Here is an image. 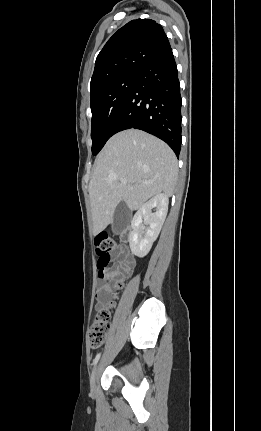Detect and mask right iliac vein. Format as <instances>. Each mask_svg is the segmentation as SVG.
I'll list each match as a JSON object with an SVG mask.
<instances>
[{
	"mask_svg": "<svg viewBox=\"0 0 261 431\" xmlns=\"http://www.w3.org/2000/svg\"><path fill=\"white\" fill-rule=\"evenodd\" d=\"M97 374H98V366H95L90 379V387L93 393L96 391Z\"/></svg>",
	"mask_w": 261,
	"mask_h": 431,
	"instance_id": "obj_1",
	"label": "right iliac vein"
}]
</instances>
